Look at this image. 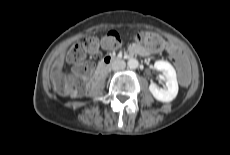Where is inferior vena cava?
Returning <instances> with one entry per match:
<instances>
[{
	"instance_id": "1",
	"label": "inferior vena cava",
	"mask_w": 230,
	"mask_h": 155,
	"mask_svg": "<svg viewBox=\"0 0 230 155\" xmlns=\"http://www.w3.org/2000/svg\"><path fill=\"white\" fill-rule=\"evenodd\" d=\"M126 66L125 62L123 60H118L117 62H114L112 64V69L113 70H119V69H124Z\"/></svg>"
}]
</instances>
